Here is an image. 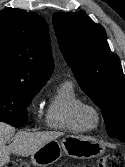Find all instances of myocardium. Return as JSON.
Instances as JSON below:
<instances>
[{
  "label": "myocardium",
  "mask_w": 125,
  "mask_h": 167,
  "mask_svg": "<svg viewBox=\"0 0 125 167\" xmlns=\"http://www.w3.org/2000/svg\"><path fill=\"white\" fill-rule=\"evenodd\" d=\"M78 116L88 130L97 128L100 123L99 111L92 104L84 103L79 109ZM91 118L93 119L92 121Z\"/></svg>",
  "instance_id": "1"
}]
</instances>
